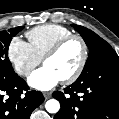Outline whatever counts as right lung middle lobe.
I'll return each mask as SVG.
<instances>
[{"mask_svg": "<svg viewBox=\"0 0 119 119\" xmlns=\"http://www.w3.org/2000/svg\"><path fill=\"white\" fill-rule=\"evenodd\" d=\"M23 28L17 27L8 31H0V75L9 76L15 73L8 58V47L12 37Z\"/></svg>", "mask_w": 119, "mask_h": 119, "instance_id": "obj_1", "label": "right lung middle lobe"}]
</instances>
